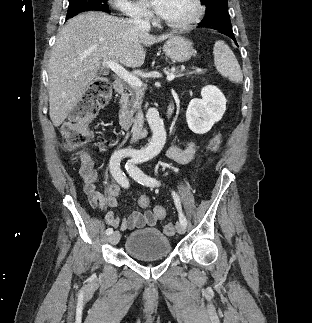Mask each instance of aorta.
<instances>
[{
    "mask_svg": "<svg viewBox=\"0 0 312 323\" xmlns=\"http://www.w3.org/2000/svg\"><path fill=\"white\" fill-rule=\"evenodd\" d=\"M147 122L152 130V140L148 146L151 154H159L166 142V130L164 128L163 120L159 118V112L155 108H150L147 112Z\"/></svg>",
    "mask_w": 312,
    "mask_h": 323,
    "instance_id": "1",
    "label": "aorta"
}]
</instances>
